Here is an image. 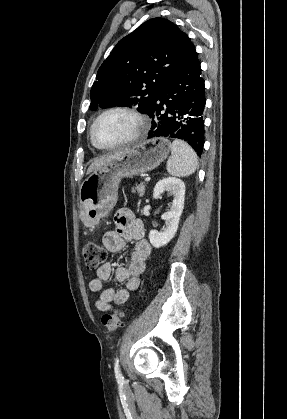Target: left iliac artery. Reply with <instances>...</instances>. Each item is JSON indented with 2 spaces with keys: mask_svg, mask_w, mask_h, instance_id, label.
<instances>
[{
  "mask_svg": "<svg viewBox=\"0 0 287 419\" xmlns=\"http://www.w3.org/2000/svg\"><path fill=\"white\" fill-rule=\"evenodd\" d=\"M114 370H115V376H116L117 380L122 381L124 379V377L122 376V373L120 371V365H119L118 357H116V359H115Z\"/></svg>",
  "mask_w": 287,
  "mask_h": 419,
  "instance_id": "left-iliac-artery-1",
  "label": "left iliac artery"
}]
</instances>
